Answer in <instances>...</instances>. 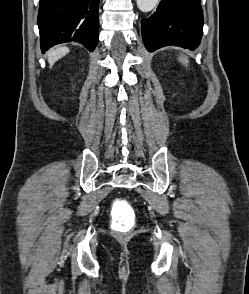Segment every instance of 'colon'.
<instances>
[{
	"label": "colon",
	"mask_w": 249,
	"mask_h": 294,
	"mask_svg": "<svg viewBox=\"0 0 249 294\" xmlns=\"http://www.w3.org/2000/svg\"><path fill=\"white\" fill-rule=\"evenodd\" d=\"M112 209L116 212L112 219V228L117 232H127L133 227V217L128 213L129 207L126 201L116 199L113 201Z\"/></svg>",
	"instance_id": "colon-1"
}]
</instances>
